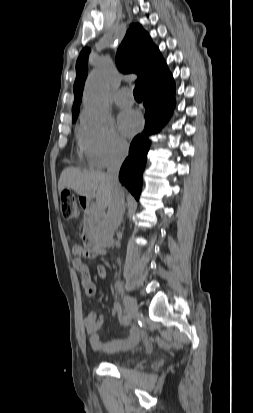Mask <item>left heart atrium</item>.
I'll return each instance as SVG.
<instances>
[{
	"label": "left heart atrium",
	"instance_id": "1",
	"mask_svg": "<svg viewBox=\"0 0 253 413\" xmlns=\"http://www.w3.org/2000/svg\"><path fill=\"white\" fill-rule=\"evenodd\" d=\"M142 118L135 111H125L119 116V127L126 136H132L140 130Z\"/></svg>",
	"mask_w": 253,
	"mask_h": 413
}]
</instances>
